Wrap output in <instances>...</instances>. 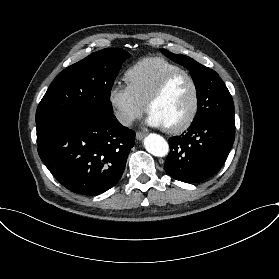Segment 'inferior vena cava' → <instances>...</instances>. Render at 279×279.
<instances>
[{
    "instance_id": "602c4592",
    "label": "inferior vena cava",
    "mask_w": 279,
    "mask_h": 279,
    "mask_svg": "<svg viewBox=\"0 0 279 279\" xmlns=\"http://www.w3.org/2000/svg\"><path fill=\"white\" fill-rule=\"evenodd\" d=\"M117 119L123 126H130L135 120L134 117L129 116L126 113H119Z\"/></svg>"
}]
</instances>
